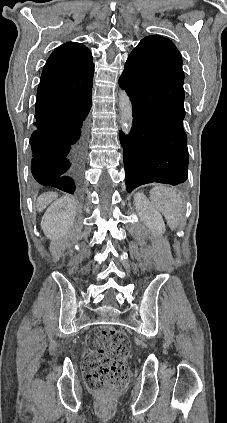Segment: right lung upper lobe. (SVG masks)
Here are the masks:
<instances>
[{
  "mask_svg": "<svg viewBox=\"0 0 227 423\" xmlns=\"http://www.w3.org/2000/svg\"><path fill=\"white\" fill-rule=\"evenodd\" d=\"M94 64L90 50L81 43L68 42L48 58L37 97L47 101L65 100L92 93Z\"/></svg>",
  "mask_w": 227,
  "mask_h": 423,
  "instance_id": "right-lung-upper-lobe-1",
  "label": "right lung upper lobe"
}]
</instances>
